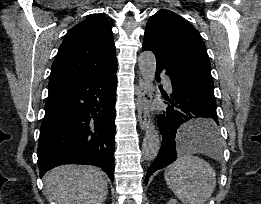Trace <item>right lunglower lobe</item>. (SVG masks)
Returning <instances> with one entry per match:
<instances>
[{"label":"right lung lower lobe","instance_id":"right-lung-lower-lobe-1","mask_svg":"<svg viewBox=\"0 0 261 204\" xmlns=\"http://www.w3.org/2000/svg\"><path fill=\"white\" fill-rule=\"evenodd\" d=\"M117 66L49 88L40 128V176L63 164L101 167L114 180Z\"/></svg>","mask_w":261,"mask_h":204}]
</instances>
